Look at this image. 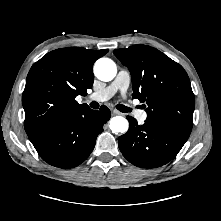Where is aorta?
Returning <instances> with one entry per match:
<instances>
[{"label":"aorta","mask_w":221,"mask_h":221,"mask_svg":"<svg viewBox=\"0 0 221 221\" xmlns=\"http://www.w3.org/2000/svg\"><path fill=\"white\" fill-rule=\"evenodd\" d=\"M94 73L101 81H111L117 74L116 64L109 58H100L94 65ZM129 123L122 116H116L110 120V129L113 133H124L128 130Z\"/></svg>","instance_id":"aorta-1"}]
</instances>
